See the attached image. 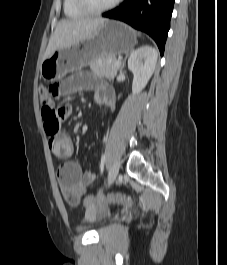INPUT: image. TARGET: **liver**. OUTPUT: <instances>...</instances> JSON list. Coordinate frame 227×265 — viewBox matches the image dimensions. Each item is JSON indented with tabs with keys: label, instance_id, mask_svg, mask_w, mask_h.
I'll use <instances>...</instances> for the list:
<instances>
[{
	"label": "liver",
	"instance_id": "1",
	"mask_svg": "<svg viewBox=\"0 0 227 265\" xmlns=\"http://www.w3.org/2000/svg\"><path fill=\"white\" fill-rule=\"evenodd\" d=\"M108 20L103 18H74L62 20L51 35L43 60L57 49L90 38Z\"/></svg>",
	"mask_w": 227,
	"mask_h": 265
}]
</instances>
